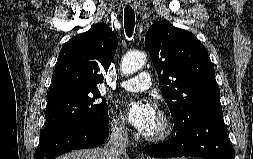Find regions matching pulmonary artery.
<instances>
[{
    "instance_id": "pulmonary-artery-1",
    "label": "pulmonary artery",
    "mask_w": 253,
    "mask_h": 159,
    "mask_svg": "<svg viewBox=\"0 0 253 159\" xmlns=\"http://www.w3.org/2000/svg\"><path fill=\"white\" fill-rule=\"evenodd\" d=\"M152 85L148 72H140L137 76L123 80L119 86L130 92H140L150 88Z\"/></svg>"
}]
</instances>
